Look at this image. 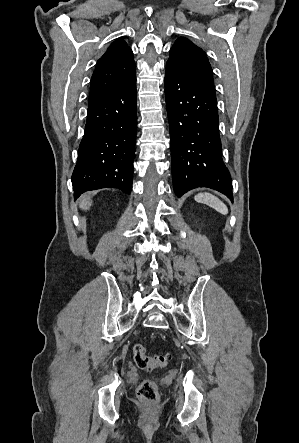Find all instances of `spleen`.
<instances>
[{"label": "spleen", "mask_w": 299, "mask_h": 443, "mask_svg": "<svg viewBox=\"0 0 299 443\" xmlns=\"http://www.w3.org/2000/svg\"><path fill=\"white\" fill-rule=\"evenodd\" d=\"M195 201L208 205L217 212L226 215L228 213L227 206L216 196L210 193H199L194 197Z\"/></svg>", "instance_id": "spleen-1"}]
</instances>
